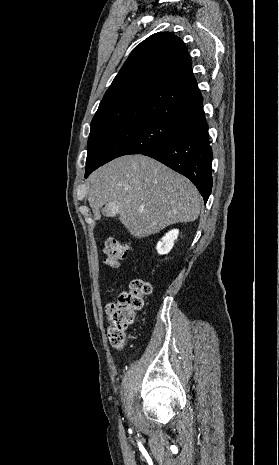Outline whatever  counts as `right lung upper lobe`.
<instances>
[{"label": "right lung upper lobe", "instance_id": "obj_1", "mask_svg": "<svg viewBox=\"0 0 279 465\" xmlns=\"http://www.w3.org/2000/svg\"><path fill=\"white\" fill-rule=\"evenodd\" d=\"M202 107L191 58L182 40L159 32L141 42L114 78L91 128L126 120L177 123Z\"/></svg>", "mask_w": 279, "mask_h": 465}]
</instances>
